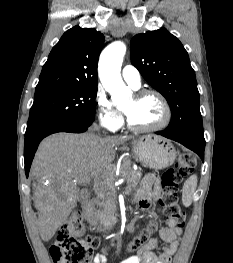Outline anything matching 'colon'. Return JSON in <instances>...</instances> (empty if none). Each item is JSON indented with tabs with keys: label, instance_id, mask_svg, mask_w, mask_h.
<instances>
[{
	"label": "colon",
	"instance_id": "colon-1",
	"mask_svg": "<svg viewBox=\"0 0 233 263\" xmlns=\"http://www.w3.org/2000/svg\"><path fill=\"white\" fill-rule=\"evenodd\" d=\"M193 166V155L180 153L175 168L166 171L162 176V214L166 219H173L178 226H183L186 219L178 202V187L181 180L192 171ZM155 230L156 224L149 223L129 244V250L142 248ZM100 245L101 240L98 237L86 234L82 212L75 210L59 231L55 243L50 248V255L54 263H92L94 251Z\"/></svg>",
	"mask_w": 233,
	"mask_h": 263
}]
</instances>
